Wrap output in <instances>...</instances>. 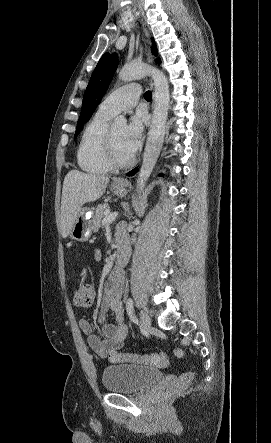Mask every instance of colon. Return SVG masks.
<instances>
[{
	"instance_id": "obj_1",
	"label": "colon",
	"mask_w": 271,
	"mask_h": 443,
	"mask_svg": "<svg viewBox=\"0 0 271 443\" xmlns=\"http://www.w3.org/2000/svg\"><path fill=\"white\" fill-rule=\"evenodd\" d=\"M95 297V290L90 283H80L77 287L72 290L73 302L77 307L89 310L93 307ZM177 356H182L183 351L181 349L176 350ZM108 359L112 363H143L149 364L156 367H166L169 363L168 357L163 352L147 353V354H136V353H121L118 351H113L108 355ZM193 379V374L191 372H185L179 375L173 382L169 395L180 393L184 391Z\"/></svg>"
}]
</instances>
